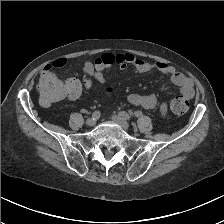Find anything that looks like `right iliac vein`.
<instances>
[{
    "label": "right iliac vein",
    "mask_w": 224,
    "mask_h": 224,
    "mask_svg": "<svg viewBox=\"0 0 224 224\" xmlns=\"http://www.w3.org/2000/svg\"><path fill=\"white\" fill-rule=\"evenodd\" d=\"M96 121L93 118H89L86 120V124L90 127L94 126Z\"/></svg>",
    "instance_id": "right-iliac-vein-1"
}]
</instances>
